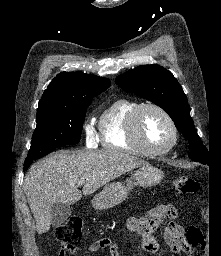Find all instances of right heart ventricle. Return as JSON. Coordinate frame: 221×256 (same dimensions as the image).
Here are the masks:
<instances>
[{
    "instance_id": "1",
    "label": "right heart ventricle",
    "mask_w": 221,
    "mask_h": 256,
    "mask_svg": "<svg viewBox=\"0 0 221 256\" xmlns=\"http://www.w3.org/2000/svg\"><path fill=\"white\" fill-rule=\"evenodd\" d=\"M141 105L136 100L120 98L112 101L101 113L99 120L100 143L108 150L136 155L144 152L130 141L127 133L128 122L134 111Z\"/></svg>"
}]
</instances>
